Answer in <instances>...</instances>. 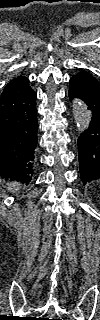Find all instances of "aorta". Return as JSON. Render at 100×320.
I'll return each instance as SVG.
<instances>
[{"instance_id":"obj_1","label":"aorta","mask_w":100,"mask_h":320,"mask_svg":"<svg viewBox=\"0 0 100 320\" xmlns=\"http://www.w3.org/2000/svg\"><path fill=\"white\" fill-rule=\"evenodd\" d=\"M72 110L74 114V120L78 132L85 131L91 121V112L88 106L80 99H74L72 101Z\"/></svg>"}]
</instances>
